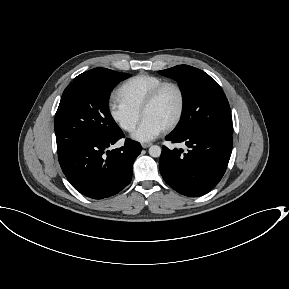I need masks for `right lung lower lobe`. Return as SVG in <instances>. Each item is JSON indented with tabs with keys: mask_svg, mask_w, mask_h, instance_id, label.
<instances>
[{
	"mask_svg": "<svg viewBox=\"0 0 289 289\" xmlns=\"http://www.w3.org/2000/svg\"><path fill=\"white\" fill-rule=\"evenodd\" d=\"M123 137L119 129L111 136L59 154L62 171L77 191L92 199H103L130 183L133 162L141 152L140 143L126 139L123 147L108 151Z\"/></svg>",
	"mask_w": 289,
	"mask_h": 289,
	"instance_id": "right-lung-lower-lobe-1",
	"label": "right lung lower lobe"
}]
</instances>
